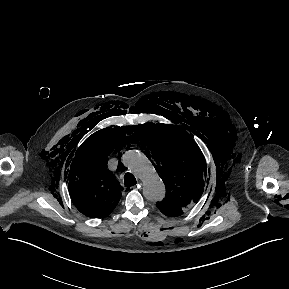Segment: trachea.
Instances as JSON below:
<instances>
[{"label": "trachea", "instance_id": "trachea-1", "mask_svg": "<svg viewBox=\"0 0 289 289\" xmlns=\"http://www.w3.org/2000/svg\"><path fill=\"white\" fill-rule=\"evenodd\" d=\"M136 182V178L131 174V173H126L124 176V185L126 187H130L135 185Z\"/></svg>", "mask_w": 289, "mask_h": 289}]
</instances>
